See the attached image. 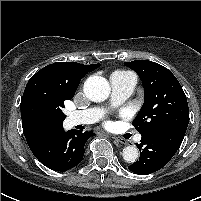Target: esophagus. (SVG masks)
Wrapping results in <instances>:
<instances>
[{"label":"esophagus","mask_w":201,"mask_h":201,"mask_svg":"<svg viewBox=\"0 0 201 201\" xmlns=\"http://www.w3.org/2000/svg\"><path fill=\"white\" fill-rule=\"evenodd\" d=\"M116 142L121 143V144H127V141L124 138L121 137H112Z\"/></svg>","instance_id":"34e87169"}]
</instances>
